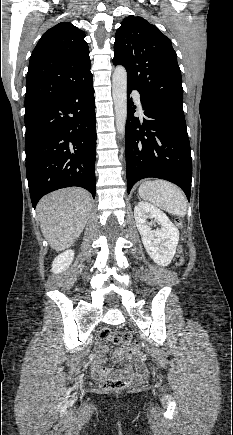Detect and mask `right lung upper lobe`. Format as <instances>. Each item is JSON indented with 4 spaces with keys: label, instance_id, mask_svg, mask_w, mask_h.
<instances>
[{
    "label": "right lung upper lobe",
    "instance_id": "obj_1",
    "mask_svg": "<svg viewBox=\"0 0 233 435\" xmlns=\"http://www.w3.org/2000/svg\"><path fill=\"white\" fill-rule=\"evenodd\" d=\"M85 33L69 22L49 29L32 52L27 73L25 109H35L91 74Z\"/></svg>",
    "mask_w": 233,
    "mask_h": 435
}]
</instances>
